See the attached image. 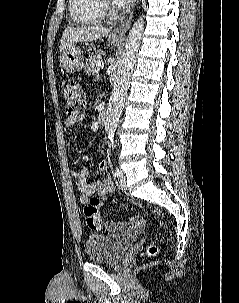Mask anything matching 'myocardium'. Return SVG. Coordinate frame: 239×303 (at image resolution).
Returning a JSON list of instances; mask_svg holds the SVG:
<instances>
[{"instance_id": "1", "label": "myocardium", "mask_w": 239, "mask_h": 303, "mask_svg": "<svg viewBox=\"0 0 239 303\" xmlns=\"http://www.w3.org/2000/svg\"><path fill=\"white\" fill-rule=\"evenodd\" d=\"M100 2H101L103 10L105 12L109 13V15H112V16L115 14L113 8L110 5L109 0H100Z\"/></svg>"}]
</instances>
